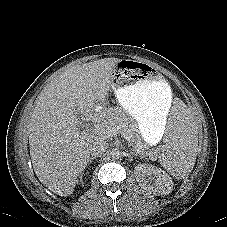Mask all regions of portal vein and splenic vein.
<instances>
[{"instance_id":"18ae733b","label":"portal vein and splenic vein","mask_w":227,"mask_h":227,"mask_svg":"<svg viewBox=\"0 0 227 227\" xmlns=\"http://www.w3.org/2000/svg\"><path fill=\"white\" fill-rule=\"evenodd\" d=\"M92 130L95 134L100 135V136H105V137H110V136H114L117 134V132H114V131L110 130L109 128H105L101 124H95L92 127ZM137 152L139 153L141 151L139 149H137Z\"/></svg>"}]
</instances>
